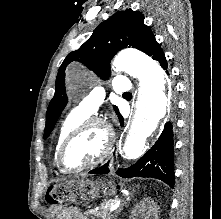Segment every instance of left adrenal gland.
<instances>
[{"label": "left adrenal gland", "instance_id": "1", "mask_svg": "<svg viewBox=\"0 0 221 219\" xmlns=\"http://www.w3.org/2000/svg\"><path fill=\"white\" fill-rule=\"evenodd\" d=\"M121 210H122V208H119V209H118V213L121 212Z\"/></svg>", "mask_w": 221, "mask_h": 219}]
</instances>
